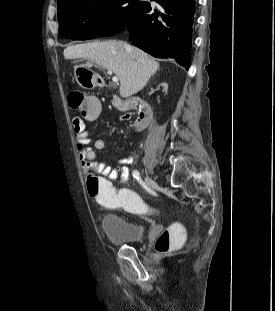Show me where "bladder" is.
I'll list each match as a JSON object with an SVG mask.
<instances>
[{
    "label": "bladder",
    "mask_w": 275,
    "mask_h": 311,
    "mask_svg": "<svg viewBox=\"0 0 275 311\" xmlns=\"http://www.w3.org/2000/svg\"><path fill=\"white\" fill-rule=\"evenodd\" d=\"M102 228L107 238L116 244H135L143 236V229L138 223L112 213L104 214Z\"/></svg>",
    "instance_id": "bladder-1"
}]
</instances>
